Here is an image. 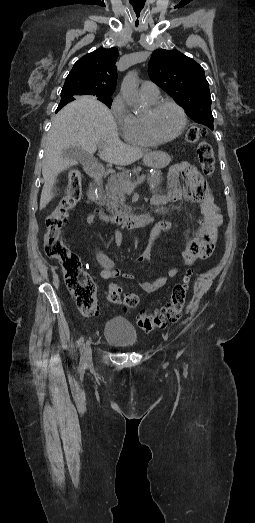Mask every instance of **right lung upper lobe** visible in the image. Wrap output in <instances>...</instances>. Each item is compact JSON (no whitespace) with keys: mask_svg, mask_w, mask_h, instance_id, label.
Segmentation results:
<instances>
[{"mask_svg":"<svg viewBox=\"0 0 255 523\" xmlns=\"http://www.w3.org/2000/svg\"><path fill=\"white\" fill-rule=\"evenodd\" d=\"M118 58V49L99 48L82 58L73 66L67 76L62 93L83 97L111 96L117 83V68L115 63ZM75 100V98H74ZM71 99H61L56 110L58 112Z\"/></svg>","mask_w":255,"mask_h":523,"instance_id":"1","label":"right lung upper lobe"}]
</instances>
